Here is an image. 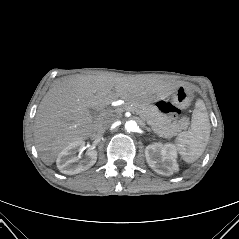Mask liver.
Segmentation results:
<instances>
[{
	"mask_svg": "<svg viewBox=\"0 0 239 239\" xmlns=\"http://www.w3.org/2000/svg\"><path fill=\"white\" fill-rule=\"evenodd\" d=\"M167 89L163 81L141 76L75 75L55 81L35 117L34 142L41 160L53 164L65 147L94 133L102 122L91 109L100 111L118 98L150 103Z\"/></svg>",
	"mask_w": 239,
	"mask_h": 239,
	"instance_id": "liver-1",
	"label": "liver"
}]
</instances>
